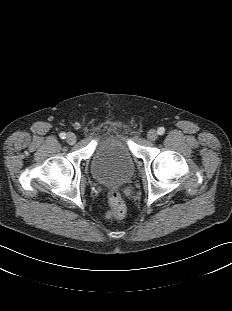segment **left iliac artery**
<instances>
[{
	"label": "left iliac artery",
	"mask_w": 232,
	"mask_h": 311,
	"mask_svg": "<svg viewBox=\"0 0 232 311\" xmlns=\"http://www.w3.org/2000/svg\"><path fill=\"white\" fill-rule=\"evenodd\" d=\"M157 132H158L159 135H163L165 133V128L164 127H160V128H158Z\"/></svg>",
	"instance_id": "left-iliac-artery-1"
}]
</instances>
